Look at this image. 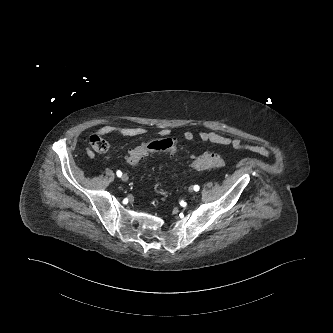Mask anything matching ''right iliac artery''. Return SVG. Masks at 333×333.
Returning <instances> with one entry per match:
<instances>
[{
	"mask_svg": "<svg viewBox=\"0 0 333 333\" xmlns=\"http://www.w3.org/2000/svg\"><path fill=\"white\" fill-rule=\"evenodd\" d=\"M116 174H117L118 177H121V176H122V172H121L120 170H118V171L116 172Z\"/></svg>",
	"mask_w": 333,
	"mask_h": 333,
	"instance_id": "obj_1",
	"label": "right iliac artery"
}]
</instances>
